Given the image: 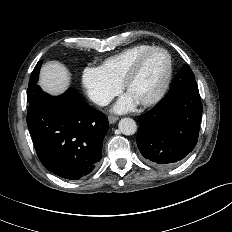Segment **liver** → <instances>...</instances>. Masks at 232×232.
I'll return each instance as SVG.
<instances>
[{
    "mask_svg": "<svg viewBox=\"0 0 232 232\" xmlns=\"http://www.w3.org/2000/svg\"><path fill=\"white\" fill-rule=\"evenodd\" d=\"M71 75L66 66L58 61L43 65L39 84L48 93L60 94L70 85Z\"/></svg>",
    "mask_w": 232,
    "mask_h": 232,
    "instance_id": "liver-1",
    "label": "liver"
}]
</instances>
